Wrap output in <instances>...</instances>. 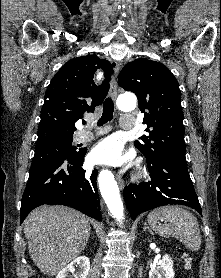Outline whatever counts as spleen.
I'll return each instance as SVG.
<instances>
[{
  "label": "spleen",
  "mask_w": 221,
  "mask_h": 278,
  "mask_svg": "<svg viewBox=\"0 0 221 278\" xmlns=\"http://www.w3.org/2000/svg\"><path fill=\"white\" fill-rule=\"evenodd\" d=\"M160 219H164L168 224L158 225ZM147 221L161 237H175L191 251L200 249L202 240L199 225L189 211L179 206H162L151 211Z\"/></svg>",
  "instance_id": "3e777b00"
}]
</instances>
